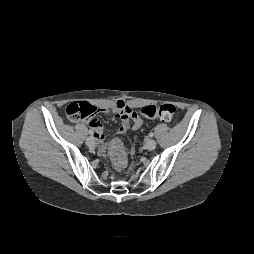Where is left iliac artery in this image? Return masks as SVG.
<instances>
[{
    "label": "left iliac artery",
    "instance_id": "44dca946",
    "mask_svg": "<svg viewBox=\"0 0 254 254\" xmlns=\"http://www.w3.org/2000/svg\"><path fill=\"white\" fill-rule=\"evenodd\" d=\"M149 136H150V137H153V136H154V133H153V132H150V133H149Z\"/></svg>",
    "mask_w": 254,
    "mask_h": 254
}]
</instances>
